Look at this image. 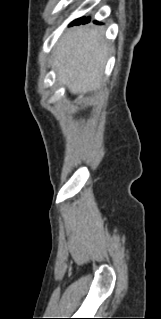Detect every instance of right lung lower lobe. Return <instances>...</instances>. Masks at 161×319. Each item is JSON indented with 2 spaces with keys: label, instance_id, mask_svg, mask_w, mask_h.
<instances>
[{
  "label": "right lung lower lobe",
  "instance_id": "right-lung-lower-lobe-1",
  "mask_svg": "<svg viewBox=\"0 0 161 319\" xmlns=\"http://www.w3.org/2000/svg\"><path fill=\"white\" fill-rule=\"evenodd\" d=\"M88 20H89V19L86 18L85 20L81 21L80 23H87ZM80 23H78V24H80ZM96 23H97V22H96ZM76 25H77V24H76Z\"/></svg>",
  "mask_w": 161,
  "mask_h": 319
}]
</instances>
